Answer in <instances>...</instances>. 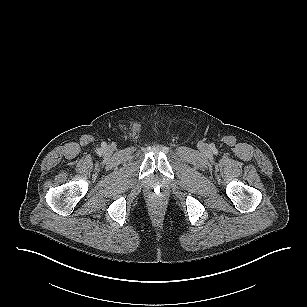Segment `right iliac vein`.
Returning <instances> with one entry per match:
<instances>
[{
	"instance_id": "right-iliac-vein-1",
	"label": "right iliac vein",
	"mask_w": 307,
	"mask_h": 307,
	"mask_svg": "<svg viewBox=\"0 0 307 307\" xmlns=\"http://www.w3.org/2000/svg\"><path fill=\"white\" fill-rule=\"evenodd\" d=\"M114 151V147L113 146H108L107 148H106V150H105V152L107 153V154H111L112 152Z\"/></svg>"
}]
</instances>
